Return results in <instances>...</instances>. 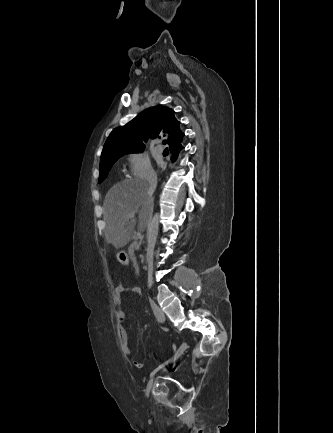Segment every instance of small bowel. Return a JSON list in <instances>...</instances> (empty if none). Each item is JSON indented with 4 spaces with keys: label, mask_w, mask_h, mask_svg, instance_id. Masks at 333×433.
Wrapping results in <instances>:
<instances>
[{
    "label": "small bowel",
    "mask_w": 333,
    "mask_h": 433,
    "mask_svg": "<svg viewBox=\"0 0 333 433\" xmlns=\"http://www.w3.org/2000/svg\"><path fill=\"white\" fill-rule=\"evenodd\" d=\"M131 295H141V289L139 287H127L124 285H119L115 289V303L120 306L123 302V299L129 297ZM117 330L119 336V342L122 351L126 354L131 360L136 359V354L129 347V338L128 332L125 326L126 315L125 312L121 309L117 311Z\"/></svg>",
    "instance_id": "c3829d8e"
}]
</instances>
